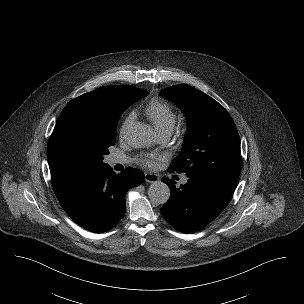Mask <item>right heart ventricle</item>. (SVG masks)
I'll use <instances>...</instances> for the list:
<instances>
[{
    "instance_id": "1",
    "label": "right heart ventricle",
    "mask_w": 304,
    "mask_h": 304,
    "mask_svg": "<svg viewBox=\"0 0 304 304\" xmlns=\"http://www.w3.org/2000/svg\"><path fill=\"white\" fill-rule=\"evenodd\" d=\"M146 114L157 132H172L177 120L174 108L166 101L154 99L146 107Z\"/></svg>"
}]
</instances>
